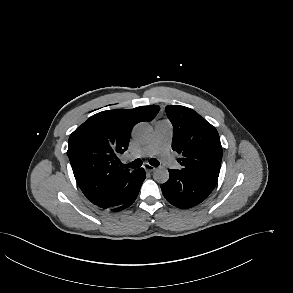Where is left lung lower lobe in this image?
<instances>
[{"instance_id":"left-lung-lower-lobe-1","label":"left lung lower lobe","mask_w":293,"mask_h":293,"mask_svg":"<svg viewBox=\"0 0 293 293\" xmlns=\"http://www.w3.org/2000/svg\"><path fill=\"white\" fill-rule=\"evenodd\" d=\"M169 180L161 185L162 193L169 203L178 208H190L204 201L217 181L169 169Z\"/></svg>"}]
</instances>
